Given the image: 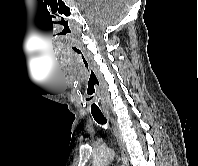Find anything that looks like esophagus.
<instances>
[{"instance_id": "esophagus-1", "label": "esophagus", "mask_w": 198, "mask_h": 166, "mask_svg": "<svg viewBox=\"0 0 198 166\" xmlns=\"http://www.w3.org/2000/svg\"><path fill=\"white\" fill-rule=\"evenodd\" d=\"M108 119H110L111 123L113 124L114 127V132L117 138V142L119 145V149H120V155H121V159L123 162V166H129V159H128V154L126 152V146H125V142L124 139L121 135L120 129L116 123V121L109 115H107Z\"/></svg>"}]
</instances>
